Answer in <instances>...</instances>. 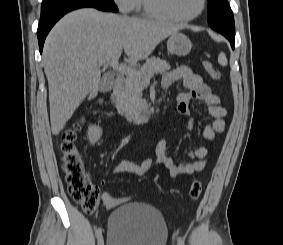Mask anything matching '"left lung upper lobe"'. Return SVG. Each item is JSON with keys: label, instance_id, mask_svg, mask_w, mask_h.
<instances>
[{"label": "left lung upper lobe", "instance_id": "5c2ea615", "mask_svg": "<svg viewBox=\"0 0 283 245\" xmlns=\"http://www.w3.org/2000/svg\"><path fill=\"white\" fill-rule=\"evenodd\" d=\"M208 25L221 34L235 35L234 18L227 0H208Z\"/></svg>", "mask_w": 283, "mask_h": 245}]
</instances>
